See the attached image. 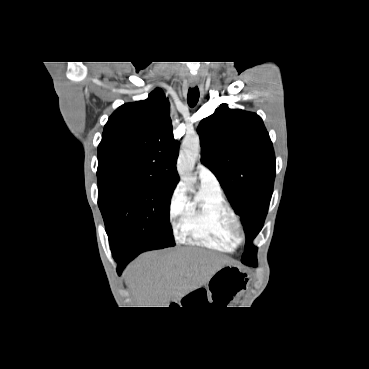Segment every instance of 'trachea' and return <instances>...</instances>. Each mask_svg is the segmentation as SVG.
Listing matches in <instances>:
<instances>
[{
	"instance_id": "trachea-1",
	"label": "trachea",
	"mask_w": 369,
	"mask_h": 369,
	"mask_svg": "<svg viewBox=\"0 0 369 369\" xmlns=\"http://www.w3.org/2000/svg\"><path fill=\"white\" fill-rule=\"evenodd\" d=\"M188 104L190 107L196 106L198 100H199V89L198 87L190 88L188 91Z\"/></svg>"
}]
</instances>
